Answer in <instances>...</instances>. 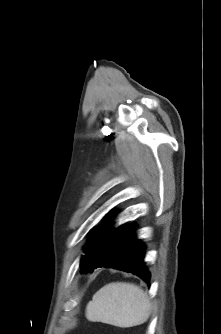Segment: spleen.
I'll list each match as a JSON object with an SVG mask.
<instances>
[{
    "label": "spleen",
    "mask_w": 221,
    "mask_h": 334,
    "mask_svg": "<svg viewBox=\"0 0 221 334\" xmlns=\"http://www.w3.org/2000/svg\"><path fill=\"white\" fill-rule=\"evenodd\" d=\"M151 313L147 294L137 285L126 282L108 283L87 304L86 318L116 327L128 328L145 323Z\"/></svg>",
    "instance_id": "obj_1"
}]
</instances>
